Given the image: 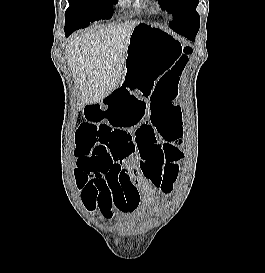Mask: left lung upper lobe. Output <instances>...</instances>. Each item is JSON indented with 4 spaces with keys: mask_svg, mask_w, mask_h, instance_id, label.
Segmentation results:
<instances>
[{
    "mask_svg": "<svg viewBox=\"0 0 265 273\" xmlns=\"http://www.w3.org/2000/svg\"><path fill=\"white\" fill-rule=\"evenodd\" d=\"M160 4L174 17L170 26H179L192 18L199 22V14L196 12L198 0H160Z\"/></svg>",
    "mask_w": 265,
    "mask_h": 273,
    "instance_id": "1",
    "label": "left lung upper lobe"
}]
</instances>
